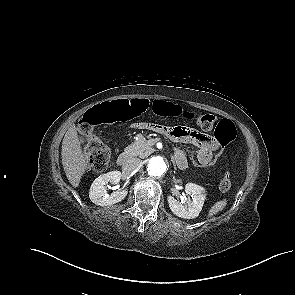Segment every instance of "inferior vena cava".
I'll use <instances>...</instances> for the list:
<instances>
[{"label":"inferior vena cava","mask_w":295,"mask_h":295,"mask_svg":"<svg viewBox=\"0 0 295 295\" xmlns=\"http://www.w3.org/2000/svg\"><path fill=\"white\" fill-rule=\"evenodd\" d=\"M141 163V160L138 158L129 159L123 164L122 170L128 173L133 172L141 165Z\"/></svg>","instance_id":"inferior-vena-cava-1"}]
</instances>
